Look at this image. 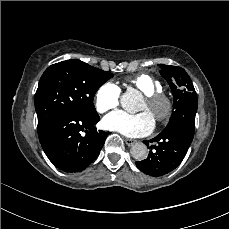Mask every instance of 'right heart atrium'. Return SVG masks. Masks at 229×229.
Here are the masks:
<instances>
[{
    "instance_id": "right-heart-atrium-1",
    "label": "right heart atrium",
    "mask_w": 229,
    "mask_h": 229,
    "mask_svg": "<svg viewBox=\"0 0 229 229\" xmlns=\"http://www.w3.org/2000/svg\"><path fill=\"white\" fill-rule=\"evenodd\" d=\"M120 97V87L113 82H105L99 86L94 94V107L99 113H105L119 105Z\"/></svg>"
}]
</instances>
